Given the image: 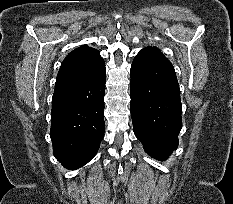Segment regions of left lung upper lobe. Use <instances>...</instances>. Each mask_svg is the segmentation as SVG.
Wrapping results in <instances>:
<instances>
[{"label": "left lung upper lobe", "instance_id": "left-lung-upper-lobe-1", "mask_svg": "<svg viewBox=\"0 0 233 204\" xmlns=\"http://www.w3.org/2000/svg\"><path fill=\"white\" fill-rule=\"evenodd\" d=\"M149 48L157 49V48H155V47H149ZM157 50H158V49H157Z\"/></svg>", "mask_w": 233, "mask_h": 204}]
</instances>
